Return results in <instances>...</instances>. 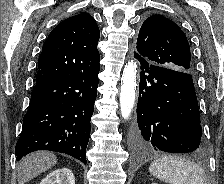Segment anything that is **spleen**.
I'll return each instance as SVG.
<instances>
[{
    "label": "spleen",
    "mask_w": 224,
    "mask_h": 184,
    "mask_svg": "<svg viewBox=\"0 0 224 184\" xmlns=\"http://www.w3.org/2000/svg\"><path fill=\"white\" fill-rule=\"evenodd\" d=\"M149 172L169 184H207L203 169L183 158H158L151 163Z\"/></svg>",
    "instance_id": "obj_1"
}]
</instances>
